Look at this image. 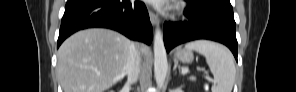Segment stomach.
I'll return each mask as SVG.
<instances>
[{
	"label": "stomach",
	"mask_w": 296,
	"mask_h": 92,
	"mask_svg": "<svg viewBox=\"0 0 296 92\" xmlns=\"http://www.w3.org/2000/svg\"><path fill=\"white\" fill-rule=\"evenodd\" d=\"M176 60L182 63L189 64L192 63L194 56L191 50L188 49H178L175 53Z\"/></svg>",
	"instance_id": "1"
}]
</instances>
